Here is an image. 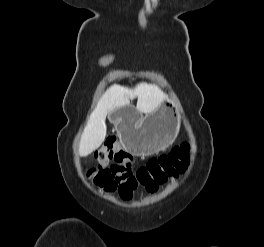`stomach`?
<instances>
[{
  "mask_svg": "<svg viewBox=\"0 0 264 247\" xmlns=\"http://www.w3.org/2000/svg\"><path fill=\"white\" fill-rule=\"evenodd\" d=\"M173 101L147 114L136 117L128 107H119L109 114L120 128V140L127 150L138 155H151L167 148L175 139L178 126Z\"/></svg>",
  "mask_w": 264,
  "mask_h": 247,
  "instance_id": "stomach-1",
  "label": "stomach"
}]
</instances>
